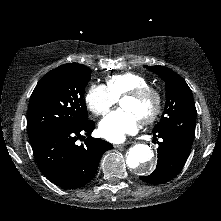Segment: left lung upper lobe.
<instances>
[{"label":"left lung upper lobe","instance_id":"1","mask_svg":"<svg viewBox=\"0 0 221 221\" xmlns=\"http://www.w3.org/2000/svg\"><path fill=\"white\" fill-rule=\"evenodd\" d=\"M158 74L166 84L164 115L153 132L171 133L191 146L195 136L197 111L192 91L185 80L173 70L163 66H145Z\"/></svg>","mask_w":221,"mask_h":221}]
</instances>
